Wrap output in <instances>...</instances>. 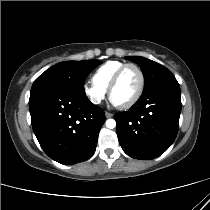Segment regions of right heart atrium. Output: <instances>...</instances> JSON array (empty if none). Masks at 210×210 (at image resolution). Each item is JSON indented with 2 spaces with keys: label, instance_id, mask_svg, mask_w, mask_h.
<instances>
[{
  "label": "right heart atrium",
  "instance_id": "right-heart-atrium-1",
  "mask_svg": "<svg viewBox=\"0 0 210 210\" xmlns=\"http://www.w3.org/2000/svg\"><path fill=\"white\" fill-rule=\"evenodd\" d=\"M83 93L94 105L100 104L106 96V90L96 86L94 83L89 82L83 84Z\"/></svg>",
  "mask_w": 210,
  "mask_h": 210
}]
</instances>
